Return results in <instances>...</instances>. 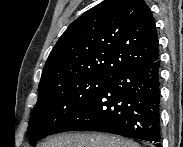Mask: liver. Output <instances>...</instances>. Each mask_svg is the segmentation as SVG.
Here are the masks:
<instances>
[{"instance_id":"1","label":"liver","mask_w":183,"mask_h":147,"mask_svg":"<svg viewBox=\"0 0 183 147\" xmlns=\"http://www.w3.org/2000/svg\"><path fill=\"white\" fill-rule=\"evenodd\" d=\"M40 147H140L139 144L101 133H71L55 136Z\"/></svg>"}]
</instances>
